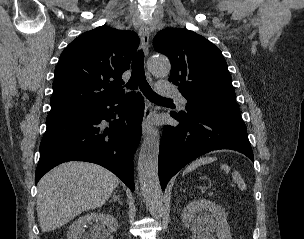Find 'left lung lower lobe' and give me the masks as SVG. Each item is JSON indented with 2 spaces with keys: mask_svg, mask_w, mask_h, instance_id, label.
<instances>
[{
  "mask_svg": "<svg viewBox=\"0 0 304 239\" xmlns=\"http://www.w3.org/2000/svg\"><path fill=\"white\" fill-rule=\"evenodd\" d=\"M171 115L179 124L164 126L158 159L162 190L187 163L213 150H235L254 161L247 128L241 118L220 115L182 116L176 112H171Z\"/></svg>",
  "mask_w": 304,
  "mask_h": 239,
  "instance_id": "0a47b994",
  "label": "left lung lower lobe"
}]
</instances>
